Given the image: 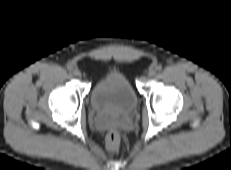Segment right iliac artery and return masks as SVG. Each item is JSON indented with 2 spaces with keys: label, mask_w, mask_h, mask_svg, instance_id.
Wrapping results in <instances>:
<instances>
[{
  "label": "right iliac artery",
  "mask_w": 231,
  "mask_h": 170,
  "mask_svg": "<svg viewBox=\"0 0 231 170\" xmlns=\"http://www.w3.org/2000/svg\"><path fill=\"white\" fill-rule=\"evenodd\" d=\"M67 69H68V71H72V70H73V66L69 65V66L67 67Z\"/></svg>",
  "instance_id": "82829eb1"
}]
</instances>
